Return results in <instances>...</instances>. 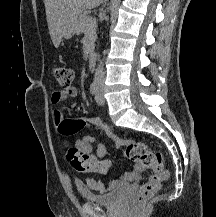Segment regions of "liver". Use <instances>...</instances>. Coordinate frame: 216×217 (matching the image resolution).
Wrapping results in <instances>:
<instances>
[{
    "instance_id": "6515ba94",
    "label": "liver",
    "mask_w": 216,
    "mask_h": 217,
    "mask_svg": "<svg viewBox=\"0 0 216 217\" xmlns=\"http://www.w3.org/2000/svg\"><path fill=\"white\" fill-rule=\"evenodd\" d=\"M103 0H44L46 18L52 42L59 47L62 37L84 9H93Z\"/></svg>"
}]
</instances>
